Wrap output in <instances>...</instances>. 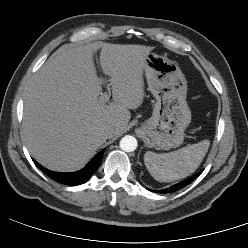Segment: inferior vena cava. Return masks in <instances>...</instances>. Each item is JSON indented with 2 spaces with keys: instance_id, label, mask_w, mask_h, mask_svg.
I'll return each instance as SVG.
<instances>
[{
  "instance_id": "1",
  "label": "inferior vena cava",
  "mask_w": 248,
  "mask_h": 248,
  "mask_svg": "<svg viewBox=\"0 0 248 248\" xmlns=\"http://www.w3.org/2000/svg\"><path fill=\"white\" fill-rule=\"evenodd\" d=\"M115 131L116 130H115L114 127L108 126V127L105 128L104 134H105L106 137L112 138L114 136V134H115Z\"/></svg>"
}]
</instances>
